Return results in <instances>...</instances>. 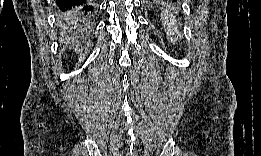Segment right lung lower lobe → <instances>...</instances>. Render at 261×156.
I'll list each match as a JSON object with an SVG mask.
<instances>
[{
	"mask_svg": "<svg viewBox=\"0 0 261 156\" xmlns=\"http://www.w3.org/2000/svg\"><path fill=\"white\" fill-rule=\"evenodd\" d=\"M57 6L61 22L72 26L86 25L94 10L91 0H57Z\"/></svg>",
	"mask_w": 261,
	"mask_h": 156,
	"instance_id": "obj_1",
	"label": "right lung lower lobe"
}]
</instances>
